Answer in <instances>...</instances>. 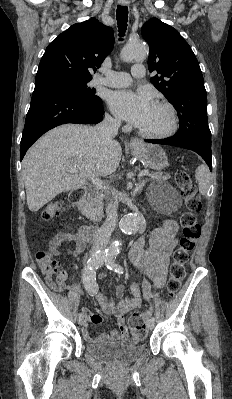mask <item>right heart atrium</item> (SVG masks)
<instances>
[{
	"label": "right heart atrium",
	"mask_w": 232,
	"mask_h": 399,
	"mask_svg": "<svg viewBox=\"0 0 232 399\" xmlns=\"http://www.w3.org/2000/svg\"><path fill=\"white\" fill-rule=\"evenodd\" d=\"M109 121H110V122H115V120H114V119H112V118H109Z\"/></svg>",
	"instance_id": "obj_1"
}]
</instances>
